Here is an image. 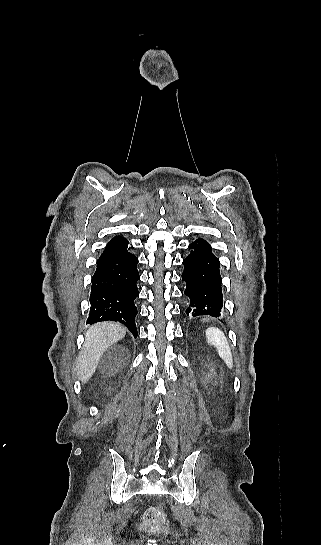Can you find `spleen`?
<instances>
[{
  "mask_svg": "<svg viewBox=\"0 0 321 545\" xmlns=\"http://www.w3.org/2000/svg\"><path fill=\"white\" fill-rule=\"evenodd\" d=\"M206 341L209 345H214L218 351L219 357L223 359L229 369H233V359L230 345L223 333L217 327H209L205 331Z\"/></svg>",
  "mask_w": 321,
  "mask_h": 545,
  "instance_id": "spleen-1",
  "label": "spleen"
}]
</instances>
